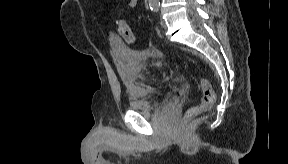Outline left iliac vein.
Wrapping results in <instances>:
<instances>
[{
	"label": "left iliac vein",
	"instance_id": "1",
	"mask_svg": "<svg viewBox=\"0 0 288 164\" xmlns=\"http://www.w3.org/2000/svg\"><path fill=\"white\" fill-rule=\"evenodd\" d=\"M160 24L162 25V26H165V21L161 18L160 19Z\"/></svg>",
	"mask_w": 288,
	"mask_h": 164
}]
</instances>
